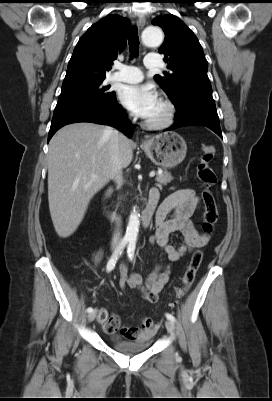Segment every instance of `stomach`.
I'll use <instances>...</instances> for the list:
<instances>
[{
    "label": "stomach",
    "instance_id": "0dacf381",
    "mask_svg": "<svg viewBox=\"0 0 272 401\" xmlns=\"http://www.w3.org/2000/svg\"><path fill=\"white\" fill-rule=\"evenodd\" d=\"M146 155L162 167H174L181 163L187 152L185 140L176 132L156 135L142 144Z\"/></svg>",
    "mask_w": 272,
    "mask_h": 401
}]
</instances>
